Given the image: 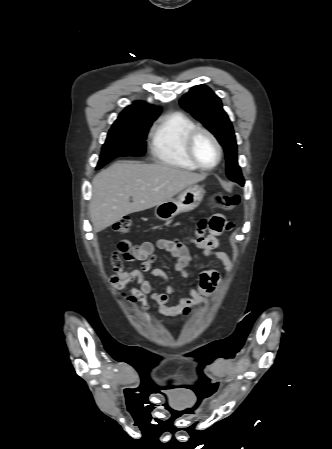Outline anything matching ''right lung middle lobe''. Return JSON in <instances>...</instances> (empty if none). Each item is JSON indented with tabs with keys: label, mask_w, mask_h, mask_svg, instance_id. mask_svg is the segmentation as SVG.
Returning a JSON list of instances; mask_svg holds the SVG:
<instances>
[{
	"label": "right lung middle lobe",
	"mask_w": 332,
	"mask_h": 449,
	"mask_svg": "<svg viewBox=\"0 0 332 449\" xmlns=\"http://www.w3.org/2000/svg\"><path fill=\"white\" fill-rule=\"evenodd\" d=\"M155 119L130 118L116 120L102 147V154L97 169L116 157L144 155L148 129Z\"/></svg>",
	"instance_id": "1"
}]
</instances>
